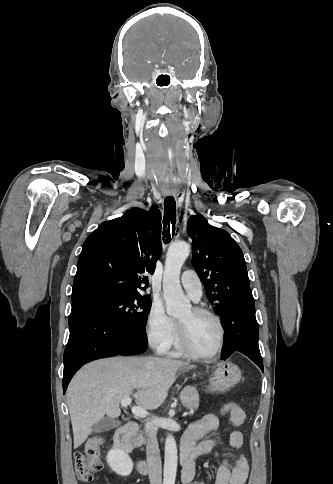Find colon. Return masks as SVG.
Here are the masks:
<instances>
[{
  "instance_id": "colon-1",
  "label": "colon",
  "mask_w": 333,
  "mask_h": 484,
  "mask_svg": "<svg viewBox=\"0 0 333 484\" xmlns=\"http://www.w3.org/2000/svg\"><path fill=\"white\" fill-rule=\"evenodd\" d=\"M237 407L239 406L234 402L226 403L221 409L222 414H229ZM102 444L103 438L93 437L86 442L84 451L75 453V470L81 481L92 482L97 479L101 470L100 449Z\"/></svg>"
}]
</instances>
